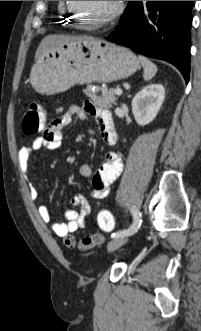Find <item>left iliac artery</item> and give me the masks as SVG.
I'll use <instances>...</instances> for the list:
<instances>
[{"instance_id":"obj_1","label":"left iliac artery","mask_w":201,"mask_h":331,"mask_svg":"<svg viewBox=\"0 0 201 331\" xmlns=\"http://www.w3.org/2000/svg\"><path fill=\"white\" fill-rule=\"evenodd\" d=\"M131 212L133 215L132 225L126 230H121V231H117V232L113 233L111 235V238H117L120 236H130V235L134 234L135 232H137V230L139 229V227L141 226V223H142L141 214L135 207L131 208Z\"/></svg>"}]
</instances>
